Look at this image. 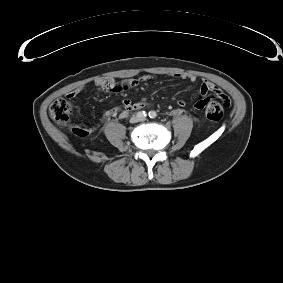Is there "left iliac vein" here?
I'll list each match as a JSON object with an SVG mask.
<instances>
[{
  "label": "left iliac vein",
  "mask_w": 283,
  "mask_h": 283,
  "mask_svg": "<svg viewBox=\"0 0 283 283\" xmlns=\"http://www.w3.org/2000/svg\"><path fill=\"white\" fill-rule=\"evenodd\" d=\"M145 120H146L145 118H142V119H141V121H145Z\"/></svg>",
  "instance_id": "obj_1"
}]
</instances>
